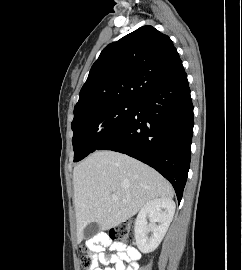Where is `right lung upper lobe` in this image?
Segmentation results:
<instances>
[{
    "instance_id": "obj_1",
    "label": "right lung upper lobe",
    "mask_w": 242,
    "mask_h": 270,
    "mask_svg": "<svg viewBox=\"0 0 242 270\" xmlns=\"http://www.w3.org/2000/svg\"><path fill=\"white\" fill-rule=\"evenodd\" d=\"M181 67L167 35L149 25L140 27L103 49L80 91L74 115L113 101L138 100Z\"/></svg>"
}]
</instances>
